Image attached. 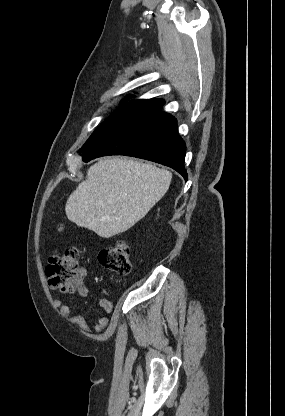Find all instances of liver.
<instances>
[{
  "instance_id": "liver-1",
  "label": "liver",
  "mask_w": 285,
  "mask_h": 416,
  "mask_svg": "<svg viewBox=\"0 0 285 416\" xmlns=\"http://www.w3.org/2000/svg\"><path fill=\"white\" fill-rule=\"evenodd\" d=\"M69 196L65 212L79 228L112 238L132 228L165 196L172 174L136 160H100Z\"/></svg>"
}]
</instances>
